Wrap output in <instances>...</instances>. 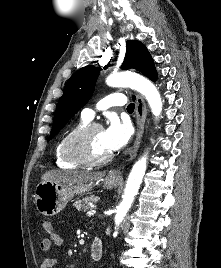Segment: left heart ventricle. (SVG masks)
<instances>
[{
	"mask_svg": "<svg viewBox=\"0 0 221 268\" xmlns=\"http://www.w3.org/2000/svg\"><path fill=\"white\" fill-rule=\"evenodd\" d=\"M87 149L92 156L103 157L111 153L104 139V131L97 129L87 139Z\"/></svg>",
	"mask_w": 221,
	"mask_h": 268,
	"instance_id": "1",
	"label": "left heart ventricle"
}]
</instances>
